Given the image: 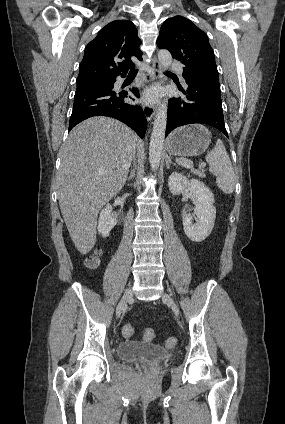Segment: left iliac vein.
Segmentation results:
<instances>
[{
	"label": "left iliac vein",
	"mask_w": 285,
	"mask_h": 424,
	"mask_svg": "<svg viewBox=\"0 0 285 424\" xmlns=\"http://www.w3.org/2000/svg\"><path fill=\"white\" fill-rule=\"evenodd\" d=\"M163 298L168 301V303L170 304L175 316L178 317L179 316V309H178V306H177L175 300L173 299V297L171 295L165 293V294H163Z\"/></svg>",
	"instance_id": "left-iliac-vein-1"
}]
</instances>
